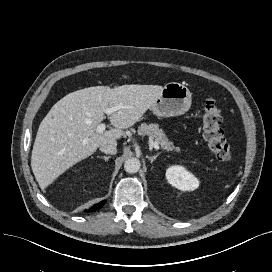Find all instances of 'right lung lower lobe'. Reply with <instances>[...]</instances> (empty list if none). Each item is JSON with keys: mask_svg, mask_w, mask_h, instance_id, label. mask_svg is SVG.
<instances>
[{"mask_svg": "<svg viewBox=\"0 0 272 272\" xmlns=\"http://www.w3.org/2000/svg\"><path fill=\"white\" fill-rule=\"evenodd\" d=\"M105 202H106L105 200H104V201H101L100 203H98V204L92 206V207H91L89 210H87L86 212L95 211V210L101 208V207L105 204Z\"/></svg>", "mask_w": 272, "mask_h": 272, "instance_id": "right-lung-lower-lobe-1", "label": "right lung lower lobe"}]
</instances>
